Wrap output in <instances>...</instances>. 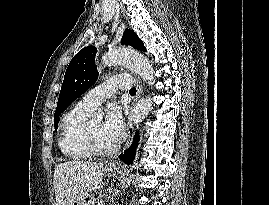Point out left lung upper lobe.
<instances>
[{"instance_id":"left-lung-upper-lobe-1","label":"left lung upper lobe","mask_w":269,"mask_h":205,"mask_svg":"<svg viewBox=\"0 0 269 205\" xmlns=\"http://www.w3.org/2000/svg\"><path fill=\"white\" fill-rule=\"evenodd\" d=\"M121 44H128L134 48L146 51L143 42L136 33L128 28L123 34ZM96 53V47H85L73 57L68 65L54 115L55 129H57L58 118L61 113L96 82L98 78V71L95 65Z\"/></svg>"}]
</instances>
